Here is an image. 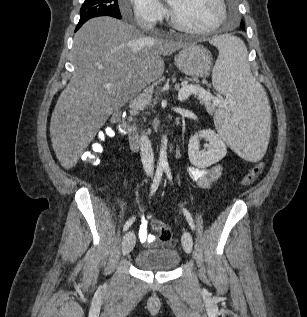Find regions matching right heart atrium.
Here are the masks:
<instances>
[{
	"mask_svg": "<svg viewBox=\"0 0 307 317\" xmlns=\"http://www.w3.org/2000/svg\"><path fill=\"white\" fill-rule=\"evenodd\" d=\"M130 3L134 20L142 27L151 28L166 16V9L158 0H130ZM121 11L123 16L129 15L128 7L122 6Z\"/></svg>",
	"mask_w": 307,
	"mask_h": 317,
	"instance_id": "right-heart-atrium-1",
	"label": "right heart atrium"
}]
</instances>
